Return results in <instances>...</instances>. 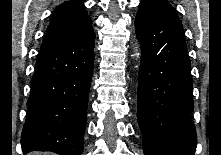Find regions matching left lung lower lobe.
Here are the masks:
<instances>
[{"mask_svg":"<svg viewBox=\"0 0 221 155\" xmlns=\"http://www.w3.org/2000/svg\"><path fill=\"white\" fill-rule=\"evenodd\" d=\"M138 124L144 155H194L190 59L181 21L139 4Z\"/></svg>","mask_w":221,"mask_h":155,"instance_id":"0a47b994","label":"left lung lower lobe"}]
</instances>
